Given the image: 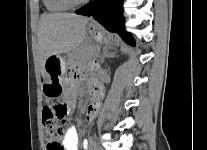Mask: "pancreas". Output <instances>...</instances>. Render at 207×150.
Returning <instances> with one entry per match:
<instances>
[{
    "label": "pancreas",
    "mask_w": 207,
    "mask_h": 150,
    "mask_svg": "<svg viewBox=\"0 0 207 150\" xmlns=\"http://www.w3.org/2000/svg\"><path fill=\"white\" fill-rule=\"evenodd\" d=\"M96 56L95 48H85L78 57V60L82 62V65L91 64Z\"/></svg>",
    "instance_id": "obj_1"
}]
</instances>
